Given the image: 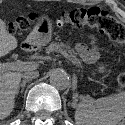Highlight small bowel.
Here are the masks:
<instances>
[{"label": "small bowel", "mask_w": 125, "mask_h": 125, "mask_svg": "<svg viewBox=\"0 0 125 125\" xmlns=\"http://www.w3.org/2000/svg\"><path fill=\"white\" fill-rule=\"evenodd\" d=\"M76 49H77V52L81 55V56H84V57H90L92 55H94L97 50L96 48H89L85 45H82V44H78L76 46Z\"/></svg>", "instance_id": "1"}]
</instances>
